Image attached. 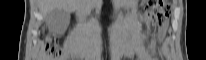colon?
Returning <instances> with one entry per match:
<instances>
[{"label": "colon", "mask_w": 206, "mask_h": 60, "mask_svg": "<svg viewBox=\"0 0 206 60\" xmlns=\"http://www.w3.org/2000/svg\"><path fill=\"white\" fill-rule=\"evenodd\" d=\"M171 12V5L166 0L150 1L145 9V17L152 23L162 24ZM47 52L56 57L59 49L51 38L46 39Z\"/></svg>", "instance_id": "colon-1"}]
</instances>
